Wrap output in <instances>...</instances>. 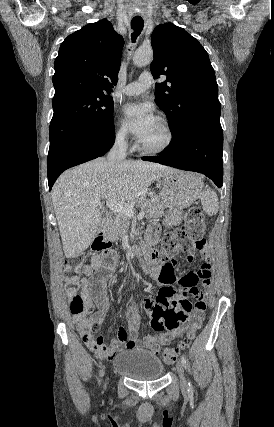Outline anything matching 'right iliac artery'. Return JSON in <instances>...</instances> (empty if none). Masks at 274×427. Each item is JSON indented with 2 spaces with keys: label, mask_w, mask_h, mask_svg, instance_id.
<instances>
[{
  "label": "right iliac artery",
  "mask_w": 274,
  "mask_h": 427,
  "mask_svg": "<svg viewBox=\"0 0 274 427\" xmlns=\"http://www.w3.org/2000/svg\"><path fill=\"white\" fill-rule=\"evenodd\" d=\"M103 376V369L100 371V376H99V383L101 381V377Z\"/></svg>",
  "instance_id": "right-iliac-artery-1"
}]
</instances>
